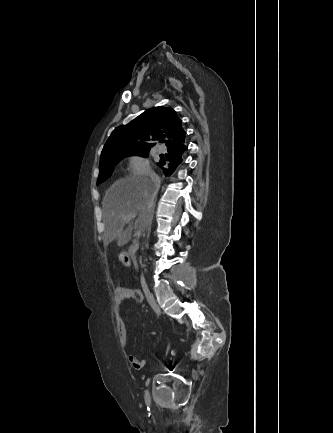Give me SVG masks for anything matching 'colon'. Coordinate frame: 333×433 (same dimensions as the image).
Listing matches in <instances>:
<instances>
[{
	"mask_svg": "<svg viewBox=\"0 0 333 433\" xmlns=\"http://www.w3.org/2000/svg\"><path fill=\"white\" fill-rule=\"evenodd\" d=\"M119 255H122V252H119ZM119 263L122 264V265H124V266H129L130 265L129 260L125 256H122V257L119 258Z\"/></svg>",
	"mask_w": 333,
	"mask_h": 433,
	"instance_id": "colon-1",
	"label": "colon"
}]
</instances>
